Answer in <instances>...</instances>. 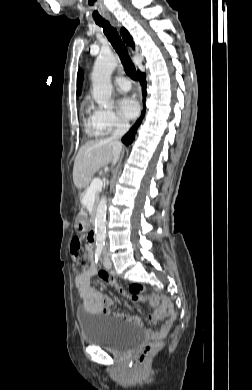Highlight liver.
<instances>
[{
	"label": "liver",
	"mask_w": 252,
	"mask_h": 390,
	"mask_svg": "<svg viewBox=\"0 0 252 390\" xmlns=\"http://www.w3.org/2000/svg\"><path fill=\"white\" fill-rule=\"evenodd\" d=\"M113 160L110 139L92 140L83 145L74 161L73 182L77 189L88 186L92 176Z\"/></svg>",
	"instance_id": "6515ba94"
}]
</instances>
